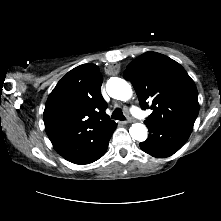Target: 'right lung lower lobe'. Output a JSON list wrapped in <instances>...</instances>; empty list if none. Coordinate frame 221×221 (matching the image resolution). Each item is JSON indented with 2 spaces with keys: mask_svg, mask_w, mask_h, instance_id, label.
Listing matches in <instances>:
<instances>
[{
  "mask_svg": "<svg viewBox=\"0 0 221 221\" xmlns=\"http://www.w3.org/2000/svg\"><path fill=\"white\" fill-rule=\"evenodd\" d=\"M115 128L116 127L112 128L108 133L103 135L90 150L72 162L75 164H89L102 157L107 150L109 140Z\"/></svg>",
  "mask_w": 221,
  "mask_h": 221,
  "instance_id": "obj_1",
  "label": "right lung lower lobe"
}]
</instances>
